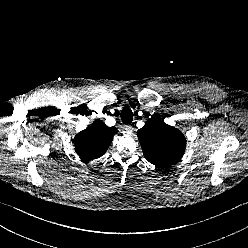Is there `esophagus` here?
<instances>
[{"mask_svg": "<svg viewBox=\"0 0 248 248\" xmlns=\"http://www.w3.org/2000/svg\"><path fill=\"white\" fill-rule=\"evenodd\" d=\"M123 129L127 134H131L134 130V128L131 125H127Z\"/></svg>", "mask_w": 248, "mask_h": 248, "instance_id": "esophagus-1", "label": "esophagus"}]
</instances>
